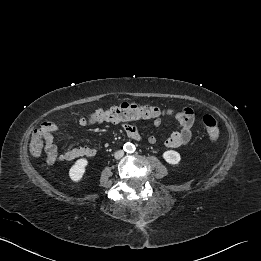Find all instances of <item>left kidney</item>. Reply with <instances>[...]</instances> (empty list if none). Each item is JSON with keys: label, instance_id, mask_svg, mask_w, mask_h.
Here are the masks:
<instances>
[{"label": "left kidney", "instance_id": "5707ae66", "mask_svg": "<svg viewBox=\"0 0 261 261\" xmlns=\"http://www.w3.org/2000/svg\"><path fill=\"white\" fill-rule=\"evenodd\" d=\"M162 157L168 164L171 165H178L181 160L180 154L174 150L165 151Z\"/></svg>", "mask_w": 261, "mask_h": 261}]
</instances>
